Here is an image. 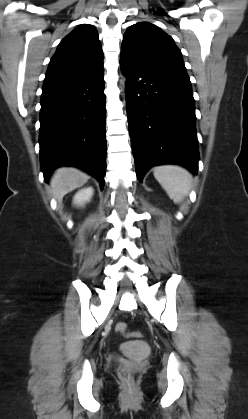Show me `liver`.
Wrapping results in <instances>:
<instances>
[{
	"label": "liver",
	"instance_id": "liver-1",
	"mask_svg": "<svg viewBox=\"0 0 248 419\" xmlns=\"http://www.w3.org/2000/svg\"><path fill=\"white\" fill-rule=\"evenodd\" d=\"M88 179L89 176L77 168L62 167L57 169L51 178V191L60 202L68 192L84 185Z\"/></svg>",
	"mask_w": 248,
	"mask_h": 419
}]
</instances>
